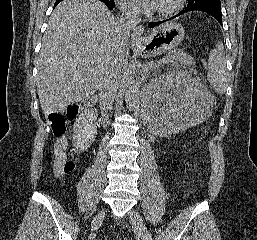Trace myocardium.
Instances as JSON below:
<instances>
[{
  "mask_svg": "<svg viewBox=\"0 0 257 240\" xmlns=\"http://www.w3.org/2000/svg\"><path fill=\"white\" fill-rule=\"evenodd\" d=\"M183 1L184 0H171L168 6L157 9L156 15L159 17H167L174 14L182 7Z\"/></svg>",
  "mask_w": 257,
  "mask_h": 240,
  "instance_id": "myocardium-1",
  "label": "myocardium"
}]
</instances>
